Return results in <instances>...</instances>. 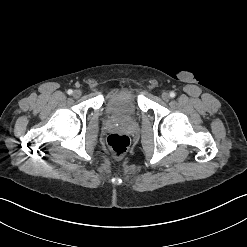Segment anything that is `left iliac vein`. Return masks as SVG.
I'll list each match as a JSON object with an SVG mask.
<instances>
[{
	"instance_id": "obj_1",
	"label": "left iliac vein",
	"mask_w": 247,
	"mask_h": 247,
	"mask_svg": "<svg viewBox=\"0 0 247 247\" xmlns=\"http://www.w3.org/2000/svg\"><path fill=\"white\" fill-rule=\"evenodd\" d=\"M161 97L164 101H168L170 99V95L167 92H163Z\"/></svg>"
}]
</instances>
